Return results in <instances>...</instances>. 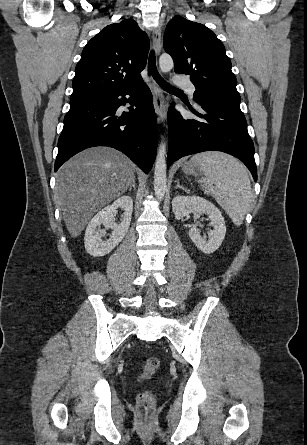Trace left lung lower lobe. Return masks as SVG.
<instances>
[{
  "mask_svg": "<svg viewBox=\"0 0 307 445\" xmlns=\"http://www.w3.org/2000/svg\"><path fill=\"white\" fill-rule=\"evenodd\" d=\"M204 110L191 111L204 122L183 118L173 107L168 111L169 148L167 165L179 158L203 151H222L239 158L257 180L254 145L246 119L238 108L198 103Z\"/></svg>",
  "mask_w": 307,
  "mask_h": 445,
  "instance_id": "obj_1",
  "label": "left lung lower lobe"
}]
</instances>
